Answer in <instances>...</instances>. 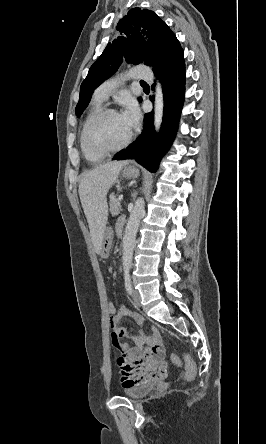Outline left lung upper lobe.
I'll return each instance as SVG.
<instances>
[{
  "label": "left lung upper lobe",
  "mask_w": 266,
  "mask_h": 444,
  "mask_svg": "<svg viewBox=\"0 0 266 444\" xmlns=\"http://www.w3.org/2000/svg\"><path fill=\"white\" fill-rule=\"evenodd\" d=\"M117 30L124 35L107 45L101 56L90 67L86 79L81 84L79 102L76 106L77 117L87 107L92 92L116 72L124 56L131 64L137 65L144 62L154 66L153 71L158 72L183 53L174 33L151 10L131 9L118 22Z\"/></svg>",
  "instance_id": "left-lung-upper-lobe-1"
}]
</instances>
